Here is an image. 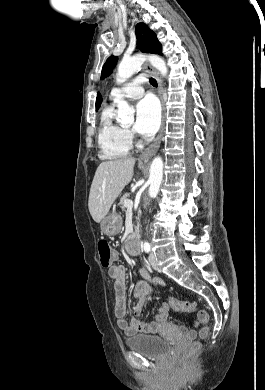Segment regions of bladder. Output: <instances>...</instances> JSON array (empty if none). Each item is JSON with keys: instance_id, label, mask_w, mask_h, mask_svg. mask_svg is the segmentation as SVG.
I'll return each instance as SVG.
<instances>
[{"instance_id": "1", "label": "bladder", "mask_w": 265, "mask_h": 390, "mask_svg": "<svg viewBox=\"0 0 265 390\" xmlns=\"http://www.w3.org/2000/svg\"><path fill=\"white\" fill-rule=\"evenodd\" d=\"M126 345L129 349L152 359H161L171 350V345L167 341L155 335L133 336L126 340Z\"/></svg>"}]
</instances>
